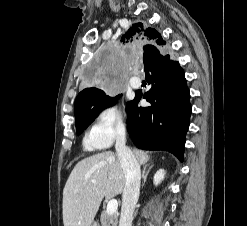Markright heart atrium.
<instances>
[{"label":"right heart atrium","instance_id":"d8ad5b80","mask_svg":"<svg viewBox=\"0 0 247 226\" xmlns=\"http://www.w3.org/2000/svg\"><path fill=\"white\" fill-rule=\"evenodd\" d=\"M126 132L127 124L121 110L114 106L105 107L97 113L85 143L91 149H107L123 139Z\"/></svg>","mask_w":247,"mask_h":226}]
</instances>
